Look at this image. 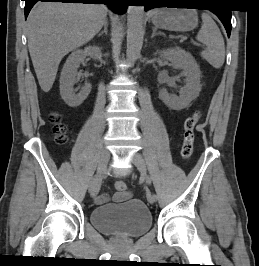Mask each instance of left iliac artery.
Wrapping results in <instances>:
<instances>
[{
  "label": "left iliac artery",
  "mask_w": 259,
  "mask_h": 266,
  "mask_svg": "<svg viewBox=\"0 0 259 266\" xmlns=\"http://www.w3.org/2000/svg\"><path fill=\"white\" fill-rule=\"evenodd\" d=\"M147 182H148V185H151V179H150V177H147ZM152 198H154V200H157L158 199V196H156L155 192L152 193Z\"/></svg>",
  "instance_id": "obj_1"
}]
</instances>
